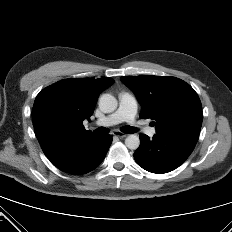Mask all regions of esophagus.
Returning <instances> with one entry per match:
<instances>
[{
    "instance_id": "34e87169",
    "label": "esophagus",
    "mask_w": 232,
    "mask_h": 232,
    "mask_svg": "<svg viewBox=\"0 0 232 232\" xmlns=\"http://www.w3.org/2000/svg\"><path fill=\"white\" fill-rule=\"evenodd\" d=\"M113 135H114V136H117V137H119V138H125V137L127 136V134H125V133H123V132H121V131H119V130H115V131L113 132Z\"/></svg>"
}]
</instances>
